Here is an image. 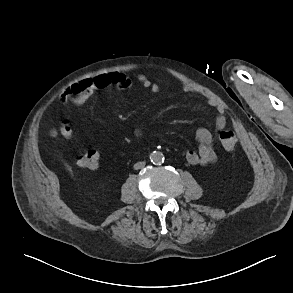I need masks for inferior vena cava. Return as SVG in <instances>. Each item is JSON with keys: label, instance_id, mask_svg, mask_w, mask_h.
<instances>
[{"label": "inferior vena cava", "instance_id": "inferior-vena-cava-1", "mask_svg": "<svg viewBox=\"0 0 293 293\" xmlns=\"http://www.w3.org/2000/svg\"><path fill=\"white\" fill-rule=\"evenodd\" d=\"M145 162H137L134 164V169L138 170V169H141L145 166Z\"/></svg>", "mask_w": 293, "mask_h": 293}]
</instances>
